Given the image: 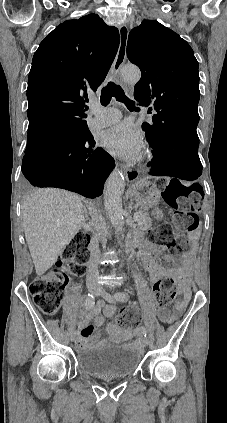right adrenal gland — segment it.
I'll list each match as a JSON object with an SVG mask.
<instances>
[{"mask_svg":"<svg viewBox=\"0 0 227 423\" xmlns=\"http://www.w3.org/2000/svg\"><path fill=\"white\" fill-rule=\"evenodd\" d=\"M85 215H87V208L84 206Z\"/></svg>","mask_w":227,"mask_h":423,"instance_id":"obj_1","label":"right adrenal gland"}]
</instances>
